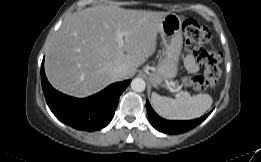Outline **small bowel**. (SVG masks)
Here are the masks:
<instances>
[{
  "label": "small bowel",
  "instance_id": "c3829d8e",
  "mask_svg": "<svg viewBox=\"0 0 261 162\" xmlns=\"http://www.w3.org/2000/svg\"><path fill=\"white\" fill-rule=\"evenodd\" d=\"M184 66L189 72L192 73H195L199 70L198 64L192 55H186L184 57Z\"/></svg>",
  "mask_w": 261,
  "mask_h": 162
}]
</instances>
